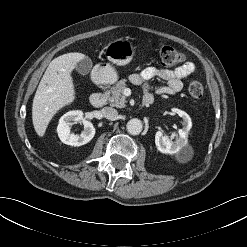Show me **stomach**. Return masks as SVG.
<instances>
[{
  "instance_id": "1",
  "label": "stomach",
  "mask_w": 247,
  "mask_h": 247,
  "mask_svg": "<svg viewBox=\"0 0 247 247\" xmlns=\"http://www.w3.org/2000/svg\"><path fill=\"white\" fill-rule=\"evenodd\" d=\"M104 50L107 59L119 66L128 64L135 53L132 43L123 38L109 42ZM93 76L98 83L102 84H112L118 79L117 72L109 63L96 65Z\"/></svg>"
}]
</instances>
